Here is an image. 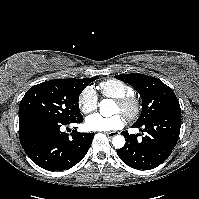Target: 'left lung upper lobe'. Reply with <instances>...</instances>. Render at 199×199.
Wrapping results in <instances>:
<instances>
[{
    "label": "left lung upper lobe",
    "mask_w": 199,
    "mask_h": 199,
    "mask_svg": "<svg viewBox=\"0 0 199 199\" xmlns=\"http://www.w3.org/2000/svg\"><path fill=\"white\" fill-rule=\"evenodd\" d=\"M115 78L130 84L142 97V112L136 125H142L163 113L180 110L172 89L159 79L143 74H123Z\"/></svg>",
    "instance_id": "left-lung-upper-lobe-1"
}]
</instances>
